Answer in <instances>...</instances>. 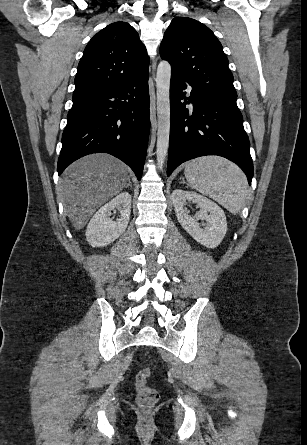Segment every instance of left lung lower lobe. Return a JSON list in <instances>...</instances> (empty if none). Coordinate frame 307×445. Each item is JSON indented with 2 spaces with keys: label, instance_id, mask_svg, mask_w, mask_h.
I'll list each match as a JSON object with an SVG mask.
<instances>
[{
  "label": "left lung lower lobe",
  "instance_id": "obj_1",
  "mask_svg": "<svg viewBox=\"0 0 307 445\" xmlns=\"http://www.w3.org/2000/svg\"><path fill=\"white\" fill-rule=\"evenodd\" d=\"M186 81L171 73L170 141L167 175L181 163L204 155H219L235 162L251 184L253 163L243 117L236 102L211 97L195 89L186 98ZM184 100V102H182ZM193 104V110L186 104Z\"/></svg>",
  "mask_w": 307,
  "mask_h": 445
}]
</instances>
